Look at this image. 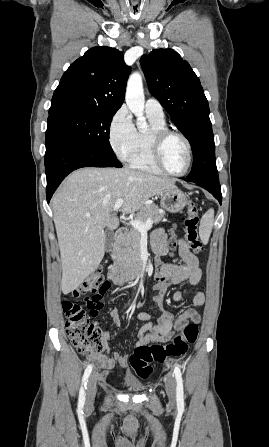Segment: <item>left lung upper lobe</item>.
Returning <instances> with one entry per match:
<instances>
[{"instance_id":"5c2ea615","label":"left lung upper lobe","mask_w":269,"mask_h":447,"mask_svg":"<svg viewBox=\"0 0 269 447\" xmlns=\"http://www.w3.org/2000/svg\"><path fill=\"white\" fill-rule=\"evenodd\" d=\"M149 91L189 140L193 182L218 180L209 105L199 78L189 63L172 49H155L140 59Z\"/></svg>"}]
</instances>
